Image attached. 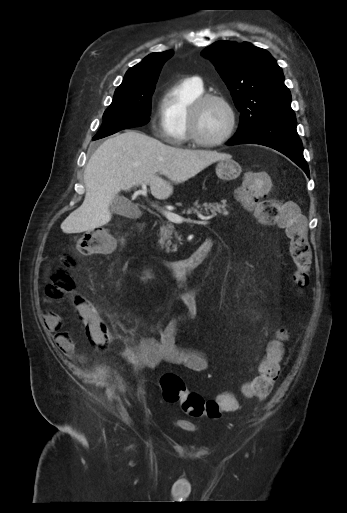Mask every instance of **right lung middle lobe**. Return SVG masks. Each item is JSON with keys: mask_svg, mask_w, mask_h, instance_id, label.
Segmentation results:
<instances>
[{"mask_svg": "<svg viewBox=\"0 0 347 513\" xmlns=\"http://www.w3.org/2000/svg\"><path fill=\"white\" fill-rule=\"evenodd\" d=\"M155 84L156 82L137 88H117L111 105L103 115L104 122L93 140L146 124L150 120Z\"/></svg>", "mask_w": 347, "mask_h": 513, "instance_id": "right-lung-middle-lobe-1", "label": "right lung middle lobe"}]
</instances>
